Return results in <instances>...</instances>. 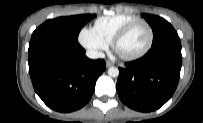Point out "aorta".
I'll use <instances>...</instances> for the list:
<instances>
[{"label": "aorta", "instance_id": "1", "mask_svg": "<svg viewBox=\"0 0 203 123\" xmlns=\"http://www.w3.org/2000/svg\"><path fill=\"white\" fill-rule=\"evenodd\" d=\"M108 75H109L110 77H118V75H119V70H118V68H117V67H110V68L108 69Z\"/></svg>", "mask_w": 203, "mask_h": 123}]
</instances>
